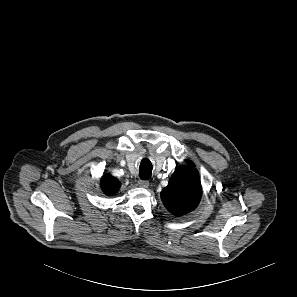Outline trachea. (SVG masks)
<instances>
[{
	"label": "trachea",
	"instance_id": "obj_1",
	"mask_svg": "<svg viewBox=\"0 0 297 297\" xmlns=\"http://www.w3.org/2000/svg\"><path fill=\"white\" fill-rule=\"evenodd\" d=\"M140 173L139 176L142 180H148L151 177L152 173V164L151 162L147 159L144 158L140 164Z\"/></svg>",
	"mask_w": 297,
	"mask_h": 297
}]
</instances>
